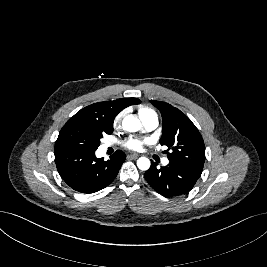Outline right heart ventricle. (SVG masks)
I'll list each match as a JSON object with an SVG mask.
<instances>
[{"label": "right heart ventricle", "instance_id": "right-heart-ventricle-1", "mask_svg": "<svg viewBox=\"0 0 267 267\" xmlns=\"http://www.w3.org/2000/svg\"><path fill=\"white\" fill-rule=\"evenodd\" d=\"M152 114H155V112L152 109L148 108V107H142V108L139 109V115H140L141 119L143 117H146V116H149V115H152Z\"/></svg>", "mask_w": 267, "mask_h": 267}]
</instances>
